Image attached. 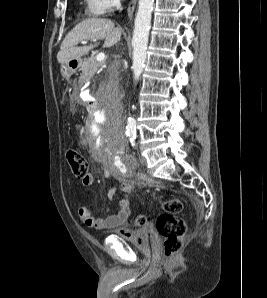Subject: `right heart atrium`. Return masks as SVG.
Here are the masks:
<instances>
[{
    "label": "right heart atrium",
    "instance_id": "right-heart-atrium-1",
    "mask_svg": "<svg viewBox=\"0 0 267 298\" xmlns=\"http://www.w3.org/2000/svg\"><path fill=\"white\" fill-rule=\"evenodd\" d=\"M104 12L110 11L119 5L120 0H100Z\"/></svg>",
    "mask_w": 267,
    "mask_h": 298
}]
</instances>
